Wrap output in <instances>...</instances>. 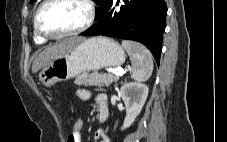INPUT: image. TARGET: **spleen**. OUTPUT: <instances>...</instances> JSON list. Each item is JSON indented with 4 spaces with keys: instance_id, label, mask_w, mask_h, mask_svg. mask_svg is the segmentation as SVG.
I'll use <instances>...</instances> for the list:
<instances>
[{
    "instance_id": "1",
    "label": "spleen",
    "mask_w": 227,
    "mask_h": 142,
    "mask_svg": "<svg viewBox=\"0 0 227 142\" xmlns=\"http://www.w3.org/2000/svg\"><path fill=\"white\" fill-rule=\"evenodd\" d=\"M122 46L130 57L134 80L138 82L148 80L154 67L151 52L142 44L128 40H123Z\"/></svg>"
}]
</instances>
